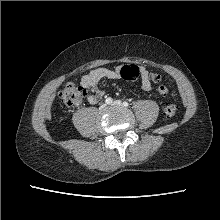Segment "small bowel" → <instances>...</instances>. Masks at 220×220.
Returning a JSON list of instances; mask_svg holds the SVG:
<instances>
[{"label":"small bowel","instance_id":"1","mask_svg":"<svg viewBox=\"0 0 220 220\" xmlns=\"http://www.w3.org/2000/svg\"><path fill=\"white\" fill-rule=\"evenodd\" d=\"M120 77V68H106L99 67L92 70L88 75L84 76L81 80V86L84 90L89 92L88 102L96 104L105 94L104 90L99 88L98 83L103 79H118ZM140 86L144 91L153 89V85L148 77V71L144 68L141 69Z\"/></svg>","mask_w":220,"mask_h":220}]
</instances>
